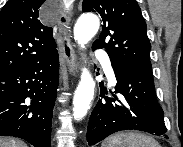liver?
Returning <instances> with one entry per match:
<instances>
[{
    "instance_id": "6515ba94",
    "label": "liver",
    "mask_w": 183,
    "mask_h": 147,
    "mask_svg": "<svg viewBox=\"0 0 183 147\" xmlns=\"http://www.w3.org/2000/svg\"><path fill=\"white\" fill-rule=\"evenodd\" d=\"M0 147H27V145L14 138H0Z\"/></svg>"
}]
</instances>
